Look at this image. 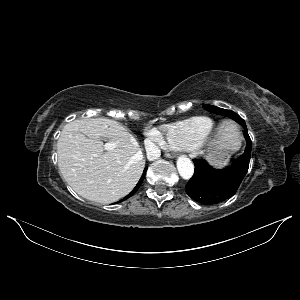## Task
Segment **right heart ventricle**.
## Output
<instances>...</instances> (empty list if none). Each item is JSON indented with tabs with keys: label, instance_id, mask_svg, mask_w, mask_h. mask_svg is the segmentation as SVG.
Wrapping results in <instances>:
<instances>
[{
	"label": "right heart ventricle",
	"instance_id": "e07e8e85",
	"mask_svg": "<svg viewBox=\"0 0 300 300\" xmlns=\"http://www.w3.org/2000/svg\"><path fill=\"white\" fill-rule=\"evenodd\" d=\"M214 122L207 117H192L164 125L161 134L165 144L173 150H192L211 134Z\"/></svg>",
	"mask_w": 300,
	"mask_h": 300
}]
</instances>
